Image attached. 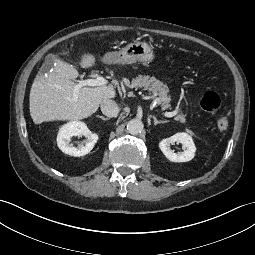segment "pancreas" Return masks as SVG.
<instances>
[{
    "label": "pancreas",
    "mask_w": 255,
    "mask_h": 255,
    "mask_svg": "<svg viewBox=\"0 0 255 255\" xmlns=\"http://www.w3.org/2000/svg\"><path fill=\"white\" fill-rule=\"evenodd\" d=\"M130 87L135 90L143 89L144 91L157 95V99L159 100V104H161L162 109L170 108L171 98L168 95L169 89L162 81L155 77L139 75L132 80ZM176 119L183 120L184 117L178 115Z\"/></svg>",
    "instance_id": "cf45deb5"
}]
</instances>
